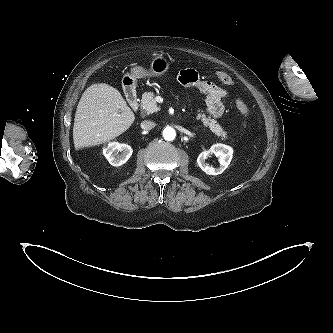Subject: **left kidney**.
I'll return each mask as SVG.
<instances>
[{"mask_svg":"<svg viewBox=\"0 0 333 333\" xmlns=\"http://www.w3.org/2000/svg\"><path fill=\"white\" fill-rule=\"evenodd\" d=\"M214 154L219 160V167L214 168L206 163L207 157ZM233 156V149L225 144H214L209 150L203 151L197 158L199 167L208 175L221 174L230 164Z\"/></svg>","mask_w":333,"mask_h":333,"instance_id":"5707ae66","label":"left kidney"}]
</instances>
